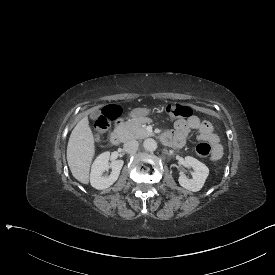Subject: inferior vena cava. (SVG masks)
<instances>
[{"label": "inferior vena cava", "instance_id": "1", "mask_svg": "<svg viewBox=\"0 0 275 275\" xmlns=\"http://www.w3.org/2000/svg\"><path fill=\"white\" fill-rule=\"evenodd\" d=\"M139 143L136 140H129L126 143H124V150L127 153H135L138 149Z\"/></svg>", "mask_w": 275, "mask_h": 275}]
</instances>
